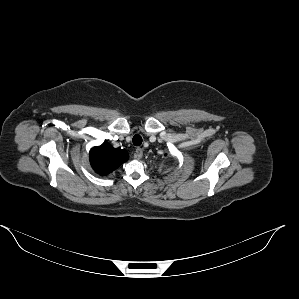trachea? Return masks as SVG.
Segmentation results:
<instances>
[{
  "instance_id": "1",
  "label": "trachea",
  "mask_w": 299,
  "mask_h": 299,
  "mask_svg": "<svg viewBox=\"0 0 299 299\" xmlns=\"http://www.w3.org/2000/svg\"><path fill=\"white\" fill-rule=\"evenodd\" d=\"M133 144L135 146H140L142 144V137L139 134L133 136Z\"/></svg>"
}]
</instances>
